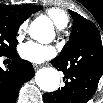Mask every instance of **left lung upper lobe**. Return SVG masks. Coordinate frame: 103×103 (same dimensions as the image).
<instances>
[{"label": "left lung upper lobe", "instance_id": "5c2ea615", "mask_svg": "<svg viewBox=\"0 0 103 103\" xmlns=\"http://www.w3.org/2000/svg\"><path fill=\"white\" fill-rule=\"evenodd\" d=\"M69 13L74 20V24L69 41L62 49L59 57H67L75 51L82 52L88 57L92 53L83 48L85 45V38L88 36H100L99 30L94 23L85 19L78 13L71 10H69Z\"/></svg>", "mask_w": 103, "mask_h": 103}]
</instances>
